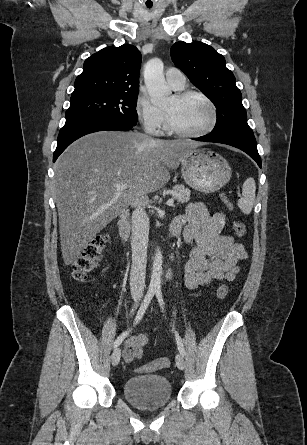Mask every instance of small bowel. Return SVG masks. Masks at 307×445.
Wrapping results in <instances>:
<instances>
[{
    "label": "small bowel",
    "instance_id": "c3829d8e",
    "mask_svg": "<svg viewBox=\"0 0 307 445\" xmlns=\"http://www.w3.org/2000/svg\"><path fill=\"white\" fill-rule=\"evenodd\" d=\"M225 223L223 213L211 214L199 202L188 204L185 212L173 220L171 228L177 230L178 235L182 233L191 246L184 272L187 288L206 287L215 280L232 281L239 272L238 263L247 258V251L232 236L222 233ZM148 342L146 334L129 337L123 359L128 363L141 359Z\"/></svg>",
    "mask_w": 307,
    "mask_h": 445
}]
</instances>
